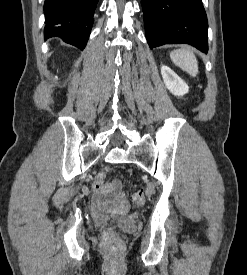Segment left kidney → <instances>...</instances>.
I'll use <instances>...</instances> for the list:
<instances>
[{"mask_svg":"<svg viewBox=\"0 0 247 275\" xmlns=\"http://www.w3.org/2000/svg\"><path fill=\"white\" fill-rule=\"evenodd\" d=\"M161 75L167 89L175 96H183L189 92V87L171 68L162 65Z\"/></svg>","mask_w":247,"mask_h":275,"instance_id":"1","label":"left kidney"}]
</instances>
